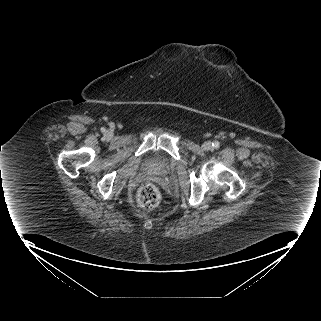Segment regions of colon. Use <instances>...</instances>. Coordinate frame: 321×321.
Masks as SVG:
<instances>
[{
	"label": "colon",
	"mask_w": 321,
	"mask_h": 321,
	"mask_svg": "<svg viewBox=\"0 0 321 321\" xmlns=\"http://www.w3.org/2000/svg\"><path fill=\"white\" fill-rule=\"evenodd\" d=\"M136 197L141 208L153 210L159 205L161 195L154 184L145 183L138 188Z\"/></svg>",
	"instance_id": "1"
}]
</instances>
